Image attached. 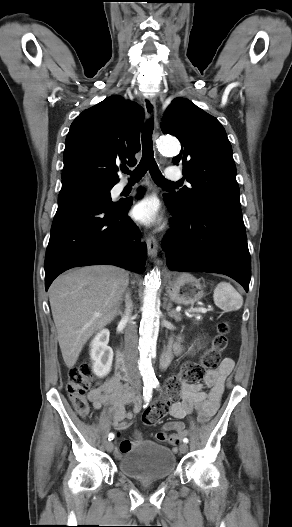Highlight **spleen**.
Returning <instances> with one entry per match:
<instances>
[{"label": "spleen", "instance_id": "obj_1", "mask_svg": "<svg viewBox=\"0 0 292 527\" xmlns=\"http://www.w3.org/2000/svg\"><path fill=\"white\" fill-rule=\"evenodd\" d=\"M213 299L214 303L225 311L238 310L243 305L242 296L230 283H219L214 290Z\"/></svg>", "mask_w": 292, "mask_h": 527}]
</instances>
